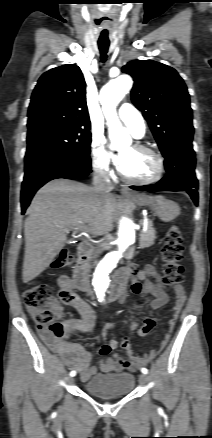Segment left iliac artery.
<instances>
[{"label": "left iliac artery", "mask_w": 212, "mask_h": 438, "mask_svg": "<svg viewBox=\"0 0 212 438\" xmlns=\"http://www.w3.org/2000/svg\"><path fill=\"white\" fill-rule=\"evenodd\" d=\"M141 372L144 373V374H147V373H148V370H147L146 368H142V369H141Z\"/></svg>", "instance_id": "44dca946"}]
</instances>
